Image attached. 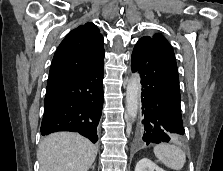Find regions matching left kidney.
Masks as SVG:
<instances>
[{"mask_svg": "<svg viewBox=\"0 0 223 171\" xmlns=\"http://www.w3.org/2000/svg\"><path fill=\"white\" fill-rule=\"evenodd\" d=\"M135 171H165V170L157 166L151 160L143 158L139 160V162L136 164Z\"/></svg>", "mask_w": 223, "mask_h": 171, "instance_id": "left-kidney-1", "label": "left kidney"}]
</instances>
